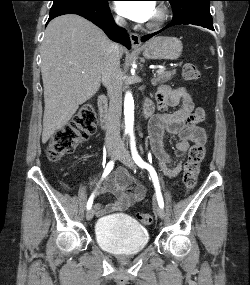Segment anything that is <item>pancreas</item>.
<instances>
[{"label": "pancreas", "mask_w": 250, "mask_h": 285, "mask_svg": "<svg viewBox=\"0 0 250 285\" xmlns=\"http://www.w3.org/2000/svg\"><path fill=\"white\" fill-rule=\"evenodd\" d=\"M175 74L176 70L163 71L161 73H157L154 75V77L151 80L152 85L156 86L158 84L168 82L173 78Z\"/></svg>", "instance_id": "1"}]
</instances>
